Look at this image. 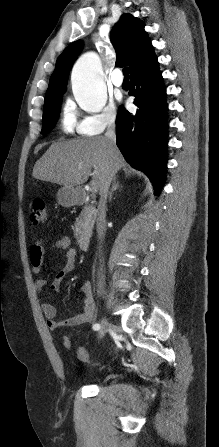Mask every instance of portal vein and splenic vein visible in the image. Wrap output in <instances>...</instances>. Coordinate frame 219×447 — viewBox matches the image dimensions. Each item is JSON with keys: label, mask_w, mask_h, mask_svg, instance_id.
<instances>
[{"label": "portal vein and splenic vein", "mask_w": 219, "mask_h": 447, "mask_svg": "<svg viewBox=\"0 0 219 447\" xmlns=\"http://www.w3.org/2000/svg\"><path fill=\"white\" fill-rule=\"evenodd\" d=\"M90 191H91L92 193H95V192L97 191V185H96V182H95V181H92V182H91V188H90Z\"/></svg>", "instance_id": "obj_1"}]
</instances>
